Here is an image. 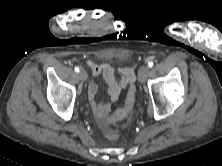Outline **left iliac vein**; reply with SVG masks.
I'll return each mask as SVG.
<instances>
[{"instance_id":"4c4485c4","label":"left iliac vein","mask_w":222,"mask_h":166,"mask_svg":"<svg viewBox=\"0 0 222 166\" xmlns=\"http://www.w3.org/2000/svg\"><path fill=\"white\" fill-rule=\"evenodd\" d=\"M149 67L147 65H143L140 67L139 71H138V78L140 82H145L148 74H149Z\"/></svg>"}]
</instances>
